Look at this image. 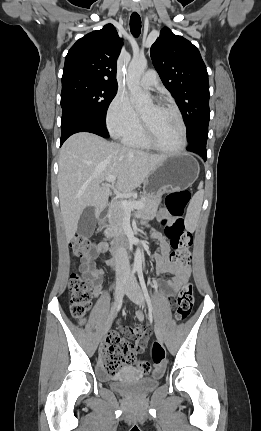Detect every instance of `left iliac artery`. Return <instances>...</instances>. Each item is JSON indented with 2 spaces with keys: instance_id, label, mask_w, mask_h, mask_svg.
<instances>
[{
  "instance_id": "left-iliac-artery-1",
  "label": "left iliac artery",
  "mask_w": 261,
  "mask_h": 431,
  "mask_svg": "<svg viewBox=\"0 0 261 431\" xmlns=\"http://www.w3.org/2000/svg\"><path fill=\"white\" fill-rule=\"evenodd\" d=\"M137 273H138V277H139V281H140V284H141V287H142V291H143L144 297H145L146 302H147L148 307H149V311L153 312L152 302H151L148 290H147L146 285H145V281H144V278H143L142 269L138 268L137 269Z\"/></svg>"
}]
</instances>
